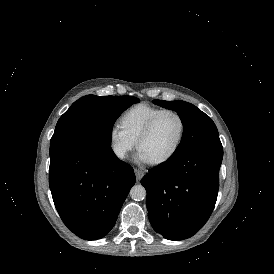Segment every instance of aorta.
Returning <instances> with one entry per match:
<instances>
[{
    "instance_id": "aorta-1",
    "label": "aorta",
    "mask_w": 274,
    "mask_h": 274,
    "mask_svg": "<svg viewBox=\"0 0 274 274\" xmlns=\"http://www.w3.org/2000/svg\"><path fill=\"white\" fill-rule=\"evenodd\" d=\"M130 196L135 201L144 200L146 197V189L141 185H134L130 190Z\"/></svg>"
}]
</instances>
